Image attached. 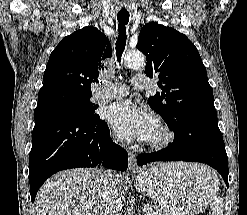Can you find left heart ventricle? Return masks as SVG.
I'll return each mask as SVG.
<instances>
[{"instance_id":"obj_1","label":"left heart ventricle","mask_w":247,"mask_h":215,"mask_svg":"<svg viewBox=\"0 0 247 215\" xmlns=\"http://www.w3.org/2000/svg\"><path fill=\"white\" fill-rule=\"evenodd\" d=\"M156 135H157V130H156V132L154 133V135L152 136V138H154ZM152 138H151V139H152Z\"/></svg>"}]
</instances>
